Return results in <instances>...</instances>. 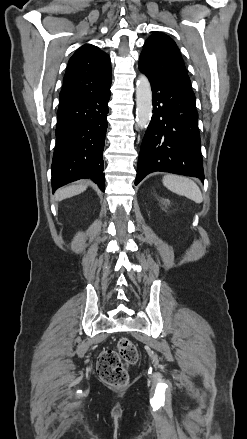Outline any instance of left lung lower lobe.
Returning a JSON list of instances; mask_svg holds the SVG:
<instances>
[{
    "label": "left lung lower lobe",
    "instance_id": "left-lung-lower-lobe-1",
    "mask_svg": "<svg viewBox=\"0 0 247 439\" xmlns=\"http://www.w3.org/2000/svg\"><path fill=\"white\" fill-rule=\"evenodd\" d=\"M153 116L142 141L135 185L155 171L198 177L204 172L195 96L150 74Z\"/></svg>",
    "mask_w": 247,
    "mask_h": 439
}]
</instances>
